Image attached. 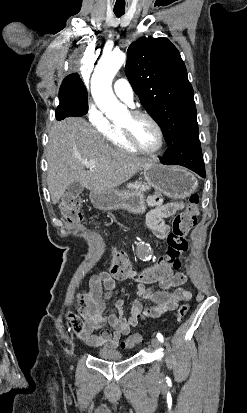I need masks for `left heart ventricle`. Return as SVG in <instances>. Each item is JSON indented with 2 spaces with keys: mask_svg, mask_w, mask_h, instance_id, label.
I'll return each instance as SVG.
<instances>
[{
  "mask_svg": "<svg viewBox=\"0 0 247 413\" xmlns=\"http://www.w3.org/2000/svg\"><path fill=\"white\" fill-rule=\"evenodd\" d=\"M130 120V116L127 122ZM135 137L138 142L147 149H154L160 143V135L156 128L144 118H140L134 122L133 126Z\"/></svg>",
  "mask_w": 247,
  "mask_h": 413,
  "instance_id": "b2bd125f",
  "label": "left heart ventricle"
}]
</instances>
